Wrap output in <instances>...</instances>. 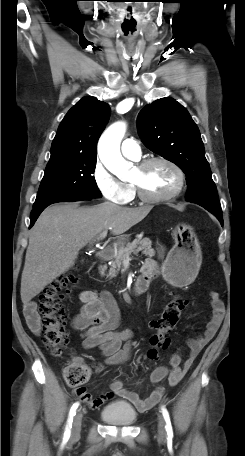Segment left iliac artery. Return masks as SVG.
<instances>
[{"label": "left iliac artery", "mask_w": 245, "mask_h": 456, "mask_svg": "<svg viewBox=\"0 0 245 456\" xmlns=\"http://www.w3.org/2000/svg\"><path fill=\"white\" fill-rule=\"evenodd\" d=\"M162 414H163L164 420L166 422L165 429L167 431V435L169 437H172L173 430H172V425H171V421H170V416H169L167 409L164 406L162 407Z\"/></svg>", "instance_id": "44dca946"}]
</instances>
